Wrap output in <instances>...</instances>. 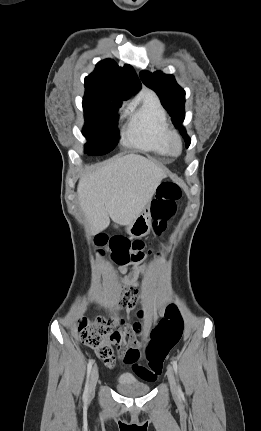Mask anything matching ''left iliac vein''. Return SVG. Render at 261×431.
Wrapping results in <instances>:
<instances>
[{
  "label": "left iliac vein",
  "instance_id": "obj_1",
  "mask_svg": "<svg viewBox=\"0 0 261 431\" xmlns=\"http://www.w3.org/2000/svg\"><path fill=\"white\" fill-rule=\"evenodd\" d=\"M167 376H168V380H169V384H170V388H171L172 393L177 394L175 375H174L173 368L170 365L167 367Z\"/></svg>",
  "mask_w": 261,
  "mask_h": 431
}]
</instances>
